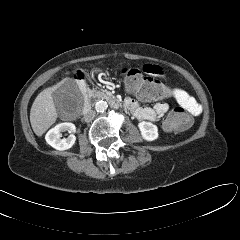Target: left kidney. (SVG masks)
<instances>
[{
    "label": "left kidney",
    "mask_w": 240,
    "mask_h": 240,
    "mask_svg": "<svg viewBox=\"0 0 240 240\" xmlns=\"http://www.w3.org/2000/svg\"><path fill=\"white\" fill-rule=\"evenodd\" d=\"M141 135L146 141H154L158 138V128L151 122L142 121L138 124Z\"/></svg>",
    "instance_id": "1"
}]
</instances>
